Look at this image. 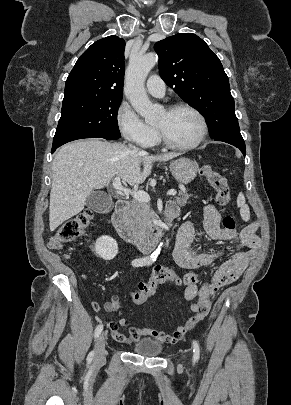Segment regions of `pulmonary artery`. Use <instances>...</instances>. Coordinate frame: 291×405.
<instances>
[{"label": "pulmonary artery", "instance_id": "obj_1", "mask_svg": "<svg viewBox=\"0 0 291 405\" xmlns=\"http://www.w3.org/2000/svg\"><path fill=\"white\" fill-rule=\"evenodd\" d=\"M147 91L156 97H162L165 94V83L158 75H151L146 82Z\"/></svg>", "mask_w": 291, "mask_h": 405}]
</instances>
